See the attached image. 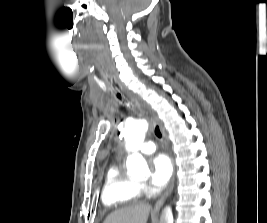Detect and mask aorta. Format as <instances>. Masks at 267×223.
Instances as JSON below:
<instances>
[{
	"label": "aorta",
	"mask_w": 267,
	"mask_h": 223,
	"mask_svg": "<svg viewBox=\"0 0 267 223\" xmlns=\"http://www.w3.org/2000/svg\"><path fill=\"white\" fill-rule=\"evenodd\" d=\"M147 129L148 123L145 120L128 123L124 129L126 150L132 152L126 161L127 170L131 176L146 175L149 172L145 159L138 153L143 145ZM173 221L172 209L166 206L162 211L160 223H173Z\"/></svg>",
	"instance_id": "obj_1"
}]
</instances>
